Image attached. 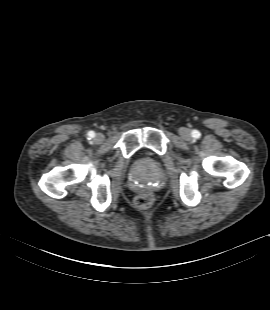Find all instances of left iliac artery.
<instances>
[{"mask_svg":"<svg viewBox=\"0 0 270 310\" xmlns=\"http://www.w3.org/2000/svg\"><path fill=\"white\" fill-rule=\"evenodd\" d=\"M192 136H193L194 138H199V137H200V133H199V131H197V130H193V132H192Z\"/></svg>","mask_w":270,"mask_h":310,"instance_id":"44dca946","label":"left iliac artery"}]
</instances>
